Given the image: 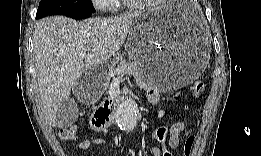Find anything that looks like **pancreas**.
Segmentation results:
<instances>
[{
    "label": "pancreas",
    "mask_w": 261,
    "mask_h": 156,
    "mask_svg": "<svg viewBox=\"0 0 261 156\" xmlns=\"http://www.w3.org/2000/svg\"><path fill=\"white\" fill-rule=\"evenodd\" d=\"M142 71L141 66L137 62L120 60L117 64H113L109 68L108 78H114L118 75H134L139 76Z\"/></svg>",
    "instance_id": "pancreas-1"
}]
</instances>
